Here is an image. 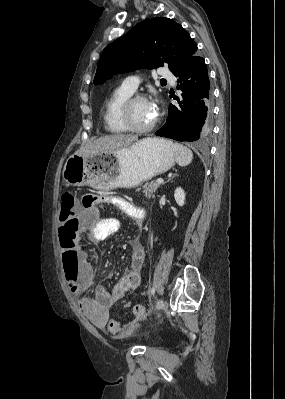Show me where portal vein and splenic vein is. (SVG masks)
<instances>
[{
  "mask_svg": "<svg viewBox=\"0 0 285 399\" xmlns=\"http://www.w3.org/2000/svg\"><path fill=\"white\" fill-rule=\"evenodd\" d=\"M163 181H164L163 179H157V180H156V182H157L158 184L163 183Z\"/></svg>",
  "mask_w": 285,
  "mask_h": 399,
  "instance_id": "obj_1",
  "label": "portal vein and splenic vein"
}]
</instances>
